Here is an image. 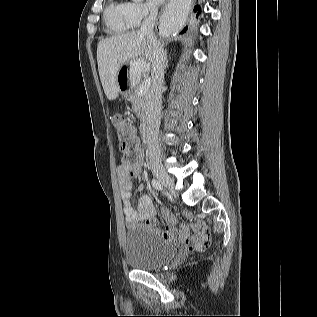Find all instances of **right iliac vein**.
<instances>
[{
  "label": "right iliac vein",
  "instance_id": "obj_1",
  "mask_svg": "<svg viewBox=\"0 0 317 317\" xmlns=\"http://www.w3.org/2000/svg\"><path fill=\"white\" fill-rule=\"evenodd\" d=\"M155 177L168 188L172 193H174V182L172 178L163 170H157L154 172Z\"/></svg>",
  "mask_w": 317,
  "mask_h": 317
}]
</instances>
